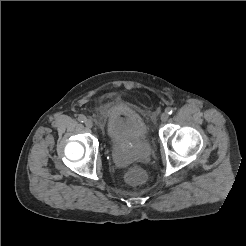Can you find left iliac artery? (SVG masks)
Instances as JSON below:
<instances>
[{
	"mask_svg": "<svg viewBox=\"0 0 246 246\" xmlns=\"http://www.w3.org/2000/svg\"><path fill=\"white\" fill-rule=\"evenodd\" d=\"M168 114H172L174 109L171 108V107H168L166 110H165Z\"/></svg>",
	"mask_w": 246,
	"mask_h": 246,
	"instance_id": "obj_1",
	"label": "left iliac artery"
}]
</instances>
